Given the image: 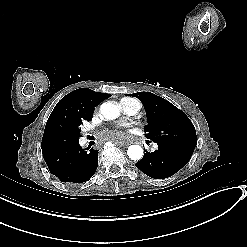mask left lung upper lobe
Here are the masks:
<instances>
[{
    "mask_svg": "<svg viewBox=\"0 0 247 247\" xmlns=\"http://www.w3.org/2000/svg\"><path fill=\"white\" fill-rule=\"evenodd\" d=\"M127 95L140 99L144 105L148 119L144 132L148 139L157 144L194 151L197 141L195 127L183 111L151 92Z\"/></svg>",
    "mask_w": 247,
    "mask_h": 247,
    "instance_id": "left-lung-upper-lobe-1",
    "label": "left lung upper lobe"
}]
</instances>
